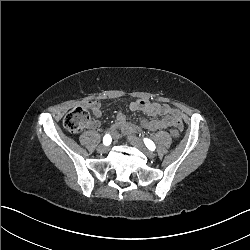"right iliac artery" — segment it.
<instances>
[{"label": "right iliac artery", "instance_id": "obj_1", "mask_svg": "<svg viewBox=\"0 0 250 250\" xmlns=\"http://www.w3.org/2000/svg\"><path fill=\"white\" fill-rule=\"evenodd\" d=\"M111 142H112L111 136L109 134H106L103 138V144L108 146L111 144Z\"/></svg>", "mask_w": 250, "mask_h": 250}]
</instances>
